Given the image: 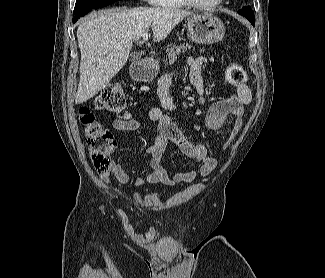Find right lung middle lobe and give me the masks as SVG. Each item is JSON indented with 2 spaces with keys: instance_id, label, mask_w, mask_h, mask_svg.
Returning <instances> with one entry per match:
<instances>
[{
  "instance_id": "right-lung-middle-lobe-1",
  "label": "right lung middle lobe",
  "mask_w": 325,
  "mask_h": 278,
  "mask_svg": "<svg viewBox=\"0 0 325 278\" xmlns=\"http://www.w3.org/2000/svg\"><path fill=\"white\" fill-rule=\"evenodd\" d=\"M118 0H76L73 14L104 7Z\"/></svg>"
}]
</instances>
